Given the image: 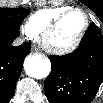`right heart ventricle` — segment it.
<instances>
[{"label": "right heart ventricle", "mask_w": 103, "mask_h": 103, "mask_svg": "<svg viewBox=\"0 0 103 103\" xmlns=\"http://www.w3.org/2000/svg\"><path fill=\"white\" fill-rule=\"evenodd\" d=\"M68 9H70L69 6H57L36 11L26 21V34L32 38L39 37L56 16Z\"/></svg>", "instance_id": "1"}]
</instances>
